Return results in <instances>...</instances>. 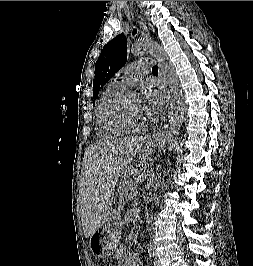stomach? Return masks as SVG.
<instances>
[{"label": "stomach", "mask_w": 253, "mask_h": 266, "mask_svg": "<svg viewBox=\"0 0 253 266\" xmlns=\"http://www.w3.org/2000/svg\"><path fill=\"white\" fill-rule=\"evenodd\" d=\"M156 146V141L143 143L138 151L139 158L148 157ZM120 238L121 216L117 210L111 209L101 226L90 236V250L98 258L109 257L117 248Z\"/></svg>", "instance_id": "stomach-1"}]
</instances>
